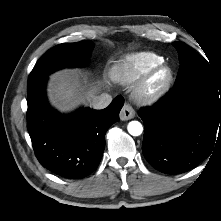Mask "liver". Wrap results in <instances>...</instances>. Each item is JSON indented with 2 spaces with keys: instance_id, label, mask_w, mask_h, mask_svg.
Here are the masks:
<instances>
[{
  "instance_id": "1",
  "label": "liver",
  "mask_w": 221,
  "mask_h": 221,
  "mask_svg": "<svg viewBox=\"0 0 221 221\" xmlns=\"http://www.w3.org/2000/svg\"><path fill=\"white\" fill-rule=\"evenodd\" d=\"M98 88L81 93V83L74 71H60L50 77L48 96L51 104L61 112L73 110L81 102L92 103Z\"/></svg>"
}]
</instances>
